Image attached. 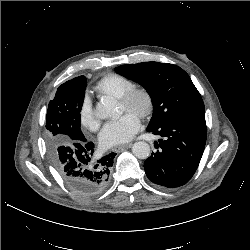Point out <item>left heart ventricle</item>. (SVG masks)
<instances>
[{"instance_id": "obj_1", "label": "left heart ventricle", "mask_w": 250, "mask_h": 250, "mask_svg": "<svg viewBox=\"0 0 250 250\" xmlns=\"http://www.w3.org/2000/svg\"><path fill=\"white\" fill-rule=\"evenodd\" d=\"M121 108H122L123 111L126 110L125 106L122 103H121Z\"/></svg>"}]
</instances>
